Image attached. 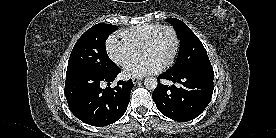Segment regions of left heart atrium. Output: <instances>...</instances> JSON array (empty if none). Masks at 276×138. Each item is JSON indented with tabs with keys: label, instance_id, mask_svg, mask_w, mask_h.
<instances>
[{
	"label": "left heart atrium",
	"instance_id": "39dd6f15",
	"mask_svg": "<svg viewBox=\"0 0 276 138\" xmlns=\"http://www.w3.org/2000/svg\"><path fill=\"white\" fill-rule=\"evenodd\" d=\"M162 65L153 57L134 59L125 66V74L129 77H143L160 71Z\"/></svg>",
	"mask_w": 276,
	"mask_h": 138
}]
</instances>
